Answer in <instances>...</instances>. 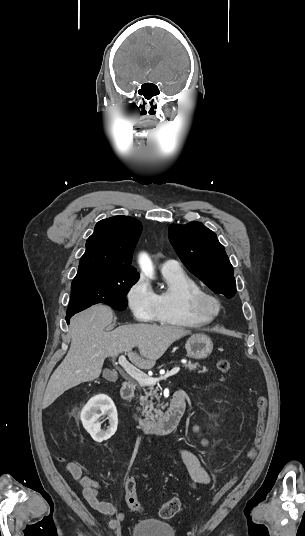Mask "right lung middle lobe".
Returning a JSON list of instances; mask_svg holds the SVG:
<instances>
[{
  "instance_id": "dd1d6c3e",
  "label": "right lung middle lobe",
  "mask_w": 305,
  "mask_h": 536,
  "mask_svg": "<svg viewBox=\"0 0 305 536\" xmlns=\"http://www.w3.org/2000/svg\"><path fill=\"white\" fill-rule=\"evenodd\" d=\"M138 279L139 276L75 277L67 312H80L97 303L123 311L127 308L126 295Z\"/></svg>"
}]
</instances>
